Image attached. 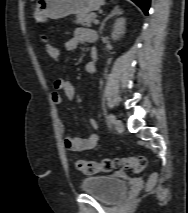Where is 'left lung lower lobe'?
Masks as SVG:
<instances>
[{
	"instance_id": "0a47b994",
	"label": "left lung lower lobe",
	"mask_w": 188,
	"mask_h": 213,
	"mask_svg": "<svg viewBox=\"0 0 188 213\" xmlns=\"http://www.w3.org/2000/svg\"><path fill=\"white\" fill-rule=\"evenodd\" d=\"M132 1L135 2L144 11L146 15H148L150 0H132Z\"/></svg>"
}]
</instances>
